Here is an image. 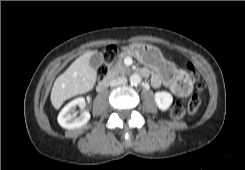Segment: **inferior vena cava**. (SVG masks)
Here are the masks:
<instances>
[{
	"mask_svg": "<svg viewBox=\"0 0 245 170\" xmlns=\"http://www.w3.org/2000/svg\"><path fill=\"white\" fill-rule=\"evenodd\" d=\"M127 83V78L124 77V76H121V77H117V78H114L110 81V86L111 87H115V86H118V85H124Z\"/></svg>",
	"mask_w": 245,
	"mask_h": 170,
	"instance_id": "1",
	"label": "inferior vena cava"
}]
</instances>
